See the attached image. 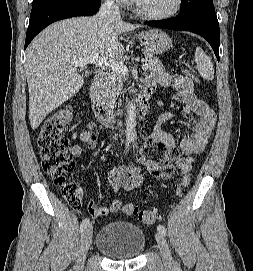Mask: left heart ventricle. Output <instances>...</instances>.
Returning <instances> with one entry per match:
<instances>
[{"label":"left heart ventricle","mask_w":253,"mask_h":271,"mask_svg":"<svg viewBox=\"0 0 253 271\" xmlns=\"http://www.w3.org/2000/svg\"><path fill=\"white\" fill-rule=\"evenodd\" d=\"M141 8L151 14H164L173 9L175 0H138Z\"/></svg>","instance_id":"left-heart-ventricle-1"}]
</instances>
